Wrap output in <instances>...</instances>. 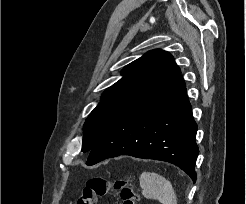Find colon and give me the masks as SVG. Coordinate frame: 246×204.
Returning a JSON list of instances; mask_svg holds the SVG:
<instances>
[{
	"label": "colon",
	"instance_id": "1",
	"mask_svg": "<svg viewBox=\"0 0 246 204\" xmlns=\"http://www.w3.org/2000/svg\"><path fill=\"white\" fill-rule=\"evenodd\" d=\"M120 193L123 204H137L139 198L128 177L108 180L103 177H93L86 182L78 197L77 204H96L98 198L104 197L109 190Z\"/></svg>",
	"mask_w": 246,
	"mask_h": 204
}]
</instances>
